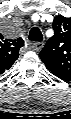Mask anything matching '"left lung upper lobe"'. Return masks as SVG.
<instances>
[{
  "label": "left lung upper lobe",
  "instance_id": "left-lung-upper-lobe-1",
  "mask_svg": "<svg viewBox=\"0 0 71 119\" xmlns=\"http://www.w3.org/2000/svg\"><path fill=\"white\" fill-rule=\"evenodd\" d=\"M54 36L39 53L51 72L71 76V18L56 16L53 21Z\"/></svg>",
  "mask_w": 71,
  "mask_h": 119
}]
</instances>
